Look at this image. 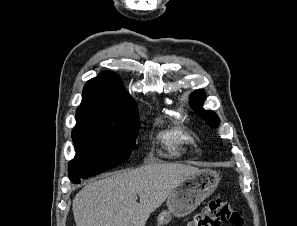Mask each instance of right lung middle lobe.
<instances>
[{"label": "right lung middle lobe", "instance_id": "dd1d6c3e", "mask_svg": "<svg viewBox=\"0 0 297 226\" xmlns=\"http://www.w3.org/2000/svg\"><path fill=\"white\" fill-rule=\"evenodd\" d=\"M140 126L137 108L124 110L118 125L76 124L72 132L76 155L69 164V179L99 174L126 161L135 146Z\"/></svg>", "mask_w": 297, "mask_h": 226}]
</instances>
